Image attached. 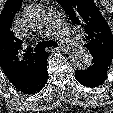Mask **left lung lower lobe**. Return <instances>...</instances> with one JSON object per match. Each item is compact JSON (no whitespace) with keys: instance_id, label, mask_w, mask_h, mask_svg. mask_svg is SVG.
Listing matches in <instances>:
<instances>
[{"instance_id":"0a47b994","label":"left lung lower lobe","mask_w":113,"mask_h":113,"mask_svg":"<svg viewBox=\"0 0 113 113\" xmlns=\"http://www.w3.org/2000/svg\"><path fill=\"white\" fill-rule=\"evenodd\" d=\"M110 66L111 62L93 56L91 66L85 70H76L75 77L80 84L86 87H98L106 80Z\"/></svg>"}]
</instances>
